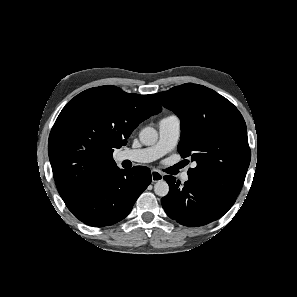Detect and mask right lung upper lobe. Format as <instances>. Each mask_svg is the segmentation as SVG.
<instances>
[{"instance_id": "right-lung-upper-lobe-1", "label": "right lung upper lobe", "mask_w": 297, "mask_h": 297, "mask_svg": "<svg viewBox=\"0 0 297 297\" xmlns=\"http://www.w3.org/2000/svg\"><path fill=\"white\" fill-rule=\"evenodd\" d=\"M162 107L153 95L116 86L90 88L75 96L55 121L48 142L54 180L68 208L97 181L118 169L113 151Z\"/></svg>"}]
</instances>
